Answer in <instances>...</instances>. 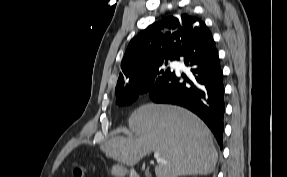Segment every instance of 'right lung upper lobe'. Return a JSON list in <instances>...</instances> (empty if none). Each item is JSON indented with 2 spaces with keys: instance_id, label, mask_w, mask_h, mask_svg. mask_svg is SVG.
Instances as JSON below:
<instances>
[{
  "instance_id": "cb5924a9",
  "label": "right lung upper lobe",
  "mask_w": 287,
  "mask_h": 177,
  "mask_svg": "<svg viewBox=\"0 0 287 177\" xmlns=\"http://www.w3.org/2000/svg\"><path fill=\"white\" fill-rule=\"evenodd\" d=\"M206 29L201 19L188 14L166 17L149 25L130 41L117 87L139 83L162 61L178 60L183 48Z\"/></svg>"
}]
</instances>
